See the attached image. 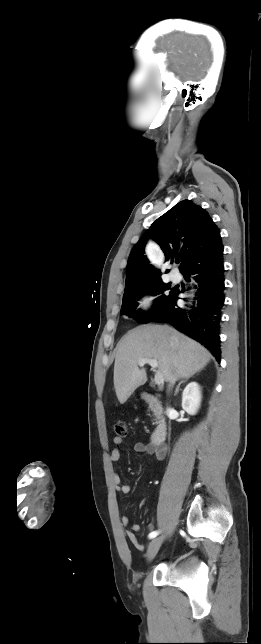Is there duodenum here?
Wrapping results in <instances>:
<instances>
[{
  "mask_svg": "<svg viewBox=\"0 0 261 644\" xmlns=\"http://www.w3.org/2000/svg\"><path fill=\"white\" fill-rule=\"evenodd\" d=\"M142 398L149 404L156 418V427L152 434V444L161 446L167 435V427L163 417V409L156 396L150 393H143Z\"/></svg>",
  "mask_w": 261,
  "mask_h": 644,
  "instance_id": "1",
  "label": "duodenum"
}]
</instances>
